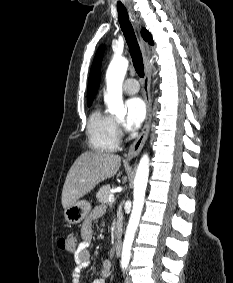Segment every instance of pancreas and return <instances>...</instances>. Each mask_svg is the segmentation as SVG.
<instances>
[{"label": "pancreas", "instance_id": "cf45deb5", "mask_svg": "<svg viewBox=\"0 0 233 283\" xmlns=\"http://www.w3.org/2000/svg\"><path fill=\"white\" fill-rule=\"evenodd\" d=\"M112 192H111V187L110 185H103L97 192L96 194V198H97V201L99 203H102V204H109V201H108V197L109 195H111ZM121 218H122V213H121V209L119 208V211H118V229L121 228Z\"/></svg>", "mask_w": 233, "mask_h": 283}]
</instances>
